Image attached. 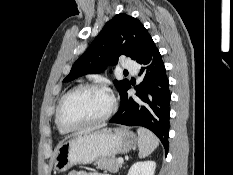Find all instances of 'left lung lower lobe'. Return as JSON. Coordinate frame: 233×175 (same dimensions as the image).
<instances>
[{
  "instance_id": "0a47b994",
  "label": "left lung lower lobe",
  "mask_w": 233,
  "mask_h": 175,
  "mask_svg": "<svg viewBox=\"0 0 233 175\" xmlns=\"http://www.w3.org/2000/svg\"><path fill=\"white\" fill-rule=\"evenodd\" d=\"M138 63L141 65L139 76L143 81L135 87L136 97L128 96L129 83L120 95L118 112L109 122L151 130L160 139L167 154L171 94L166 69L155 44Z\"/></svg>"
}]
</instances>
